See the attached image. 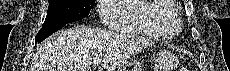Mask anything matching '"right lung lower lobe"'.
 <instances>
[{
    "mask_svg": "<svg viewBox=\"0 0 230 71\" xmlns=\"http://www.w3.org/2000/svg\"><path fill=\"white\" fill-rule=\"evenodd\" d=\"M72 23V22H71ZM69 24V23H62V24H57L54 26H49V27H42L38 34L36 35V44L40 43L42 40L50 36L52 33L56 32L57 30L61 29L64 25Z\"/></svg>",
    "mask_w": 230,
    "mask_h": 71,
    "instance_id": "obj_1",
    "label": "right lung lower lobe"
}]
</instances>
